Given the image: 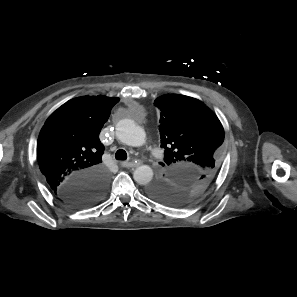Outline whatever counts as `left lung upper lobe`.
<instances>
[{
	"label": "left lung upper lobe",
	"mask_w": 297,
	"mask_h": 297,
	"mask_svg": "<svg viewBox=\"0 0 297 297\" xmlns=\"http://www.w3.org/2000/svg\"><path fill=\"white\" fill-rule=\"evenodd\" d=\"M160 110L161 147L166 175L147 189L163 203L182 206L204 193L222 165L224 129L201 101L168 94L154 101Z\"/></svg>",
	"instance_id": "1"
}]
</instances>
